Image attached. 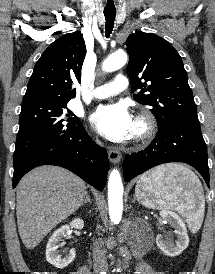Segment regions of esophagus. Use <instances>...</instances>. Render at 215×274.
<instances>
[{"instance_id": "obj_1", "label": "esophagus", "mask_w": 215, "mask_h": 274, "mask_svg": "<svg viewBox=\"0 0 215 274\" xmlns=\"http://www.w3.org/2000/svg\"><path fill=\"white\" fill-rule=\"evenodd\" d=\"M108 157L112 163L116 164L120 162L122 155L118 150L112 148L108 152Z\"/></svg>"}]
</instances>
